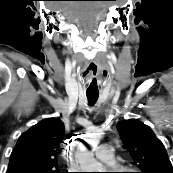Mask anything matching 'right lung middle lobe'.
<instances>
[{
    "label": "right lung middle lobe",
    "mask_w": 173,
    "mask_h": 173,
    "mask_svg": "<svg viewBox=\"0 0 173 173\" xmlns=\"http://www.w3.org/2000/svg\"><path fill=\"white\" fill-rule=\"evenodd\" d=\"M22 173H60V172L53 170H46V171H22Z\"/></svg>",
    "instance_id": "dd1d6c3e"
}]
</instances>
